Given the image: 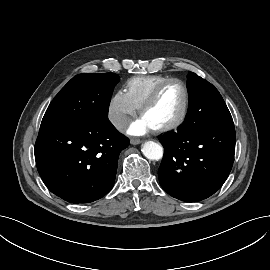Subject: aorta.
<instances>
[{"mask_svg": "<svg viewBox=\"0 0 270 270\" xmlns=\"http://www.w3.org/2000/svg\"><path fill=\"white\" fill-rule=\"evenodd\" d=\"M141 151L149 160H159L163 156V147L154 141H146L142 145Z\"/></svg>", "mask_w": 270, "mask_h": 270, "instance_id": "aorta-1", "label": "aorta"}]
</instances>
